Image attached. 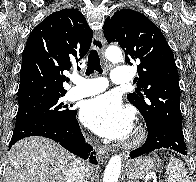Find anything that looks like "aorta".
<instances>
[{
    "mask_svg": "<svg viewBox=\"0 0 196 182\" xmlns=\"http://www.w3.org/2000/svg\"><path fill=\"white\" fill-rule=\"evenodd\" d=\"M106 58L117 63L122 59V52L119 48L109 47L105 52ZM122 166L121 155H114L108 162V165L104 172L103 182H118Z\"/></svg>",
    "mask_w": 196,
    "mask_h": 182,
    "instance_id": "1",
    "label": "aorta"
}]
</instances>
